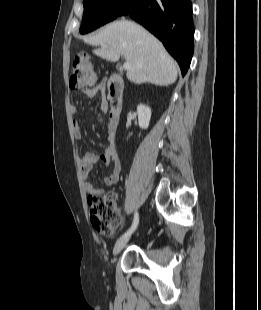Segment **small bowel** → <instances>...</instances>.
Returning a JSON list of instances; mask_svg holds the SVG:
<instances>
[{
  "label": "small bowel",
  "mask_w": 261,
  "mask_h": 310,
  "mask_svg": "<svg viewBox=\"0 0 261 310\" xmlns=\"http://www.w3.org/2000/svg\"><path fill=\"white\" fill-rule=\"evenodd\" d=\"M105 90V83H100L96 87L90 88L85 91V95L89 98L101 95ZM72 112L77 113L75 107L72 108ZM73 134L75 138H81V128L79 123L74 120L72 123ZM102 159L106 165H111L112 169L109 175L104 177V183L106 185H113L119 180L121 172V163L115 146V130L108 126V146L106 147L104 153L99 156L93 152L85 153L80 160L81 172L84 179V186L87 193L90 195L101 194L103 190L101 188L95 187L93 183L89 180V174L93 166Z\"/></svg>",
  "instance_id": "obj_1"
}]
</instances>
